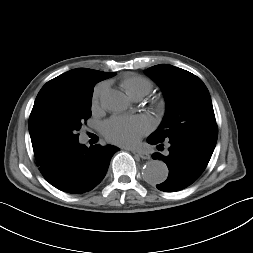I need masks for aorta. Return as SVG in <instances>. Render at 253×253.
<instances>
[{
	"label": "aorta",
	"instance_id": "aorta-1",
	"mask_svg": "<svg viewBox=\"0 0 253 253\" xmlns=\"http://www.w3.org/2000/svg\"><path fill=\"white\" fill-rule=\"evenodd\" d=\"M101 104L107 110L114 113H122L127 110L129 101L124 93L118 90H108L101 96ZM143 178L150 184H161L168 177L167 165L160 160L148 161L142 170Z\"/></svg>",
	"mask_w": 253,
	"mask_h": 253
}]
</instances>
